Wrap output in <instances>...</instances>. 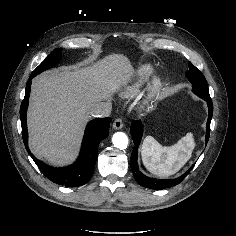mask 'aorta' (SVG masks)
Masks as SVG:
<instances>
[{"label": "aorta", "mask_w": 236, "mask_h": 236, "mask_svg": "<svg viewBox=\"0 0 236 236\" xmlns=\"http://www.w3.org/2000/svg\"><path fill=\"white\" fill-rule=\"evenodd\" d=\"M112 142H113L114 147L123 150L127 148L129 141L125 133L116 132L112 137Z\"/></svg>", "instance_id": "762f6f07"}]
</instances>
